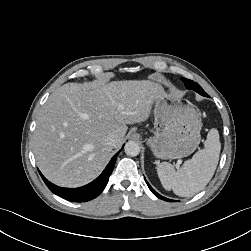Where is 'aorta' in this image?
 <instances>
[{"mask_svg": "<svg viewBox=\"0 0 251 251\" xmlns=\"http://www.w3.org/2000/svg\"><path fill=\"white\" fill-rule=\"evenodd\" d=\"M125 153L128 156H137L140 153V146L135 141H128L124 146Z\"/></svg>", "mask_w": 251, "mask_h": 251, "instance_id": "762f6f07", "label": "aorta"}]
</instances>
